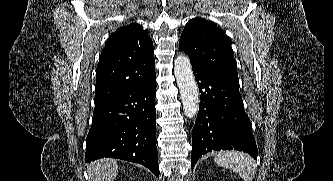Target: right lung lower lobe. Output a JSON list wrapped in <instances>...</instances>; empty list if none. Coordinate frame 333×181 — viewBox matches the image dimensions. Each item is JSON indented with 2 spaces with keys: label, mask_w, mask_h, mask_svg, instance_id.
<instances>
[{
  "label": "right lung lower lobe",
  "mask_w": 333,
  "mask_h": 181,
  "mask_svg": "<svg viewBox=\"0 0 333 181\" xmlns=\"http://www.w3.org/2000/svg\"><path fill=\"white\" fill-rule=\"evenodd\" d=\"M155 93L156 79L95 106L85 161L119 158L140 163L158 176Z\"/></svg>",
  "instance_id": "right-lung-lower-lobe-1"
}]
</instances>
